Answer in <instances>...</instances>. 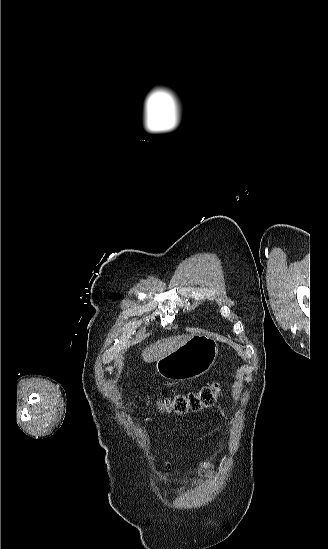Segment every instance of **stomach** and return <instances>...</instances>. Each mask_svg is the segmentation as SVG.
<instances>
[{"instance_id": "obj_1", "label": "stomach", "mask_w": 328, "mask_h": 549, "mask_svg": "<svg viewBox=\"0 0 328 549\" xmlns=\"http://www.w3.org/2000/svg\"><path fill=\"white\" fill-rule=\"evenodd\" d=\"M217 355L216 337L198 333L173 353L158 359L156 369L168 381H192L210 371Z\"/></svg>"}]
</instances>
